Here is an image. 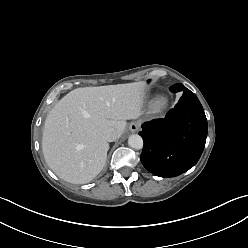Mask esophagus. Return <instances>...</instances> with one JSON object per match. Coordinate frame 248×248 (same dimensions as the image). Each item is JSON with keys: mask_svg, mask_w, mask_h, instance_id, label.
Segmentation results:
<instances>
[{"mask_svg": "<svg viewBox=\"0 0 248 248\" xmlns=\"http://www.w3.org/2000/svg\"><path fill=\"white\" fill-rule=\"evenodd\" d=\"M140 128V125L138 122L133 121L129 124V130L133 133L137 132Z\"/></svg>", "mask_w": 248, "mask_h": 248, "instance_id": "34e87169", "label": "esophagus"}]
</instances>
